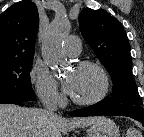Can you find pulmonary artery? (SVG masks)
I'll return each instance as SVG.
<instances>
[{"label": "pulmonary artery", "instance_id": "obj_1", "mask_svg": "<svg viewBox=\"0 0 144 137\" xmlns=\"http://www.w3.org/2000/svg\"><path fill=\"white\" fill-rule=\"evenodd\" d=\"M81 41L77 36L70 35L64 43V51L69 56H77L81 51Z\"/></svg>", "mask_w": 144, "mask_h": 137}]
</instances>
